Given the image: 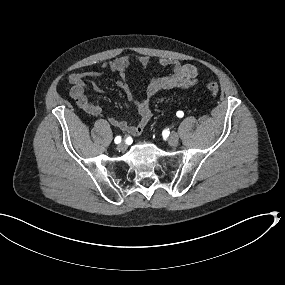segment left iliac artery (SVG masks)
<instances>
[{
    "label": "left iliac artery",
    "mask_w": 285,
    "mask_h": 285,
    "mask_svg": "<svg viewBox=\"0 0 285 285\" xmlns=\"http://www.w3.org/2000/svg\"><path fill=\"white\" fill-rule=\"evenodd\" d=\"M176 115H177L179 118H182L183 115H184V113H183L182 111H178V112L176 113Z\"/></svg>",
    "instance_id": "1"
}]
</instances>
